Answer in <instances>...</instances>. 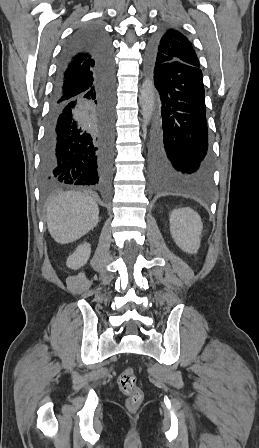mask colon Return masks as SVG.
<instances>
[{"instance_id": "1", "label": "colon", "mask_w": 259, "mask_h": 448, "mask_svg": "<svg viewBox=\"0 0 259 448\" xmlns=\"http://www.w3.org/2000/svg\"><path fill=\"white\" fill-rule=\"evenodd\" d=\"M120 390L127 396L126 406L130 411H136L143 401V392L137 384L133 368H126L118 378Z\"/></svg>"}]
</instances>
